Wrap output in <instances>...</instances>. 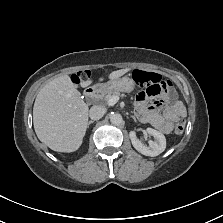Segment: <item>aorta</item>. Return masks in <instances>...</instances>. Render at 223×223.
Here are the masks:
<instances>
[{
  "label": "aorta",
  "instance_id": "1",
  "mask_svg": "<svg viewBox=\"0 0 223 223\" xmlns=\"http://www.w3.org/2000/svg\"><path fill=\"white\" fill-rule=\"evenodd\" d=\"M110 121L114 125H120L123 123L121 114L115 113L110 116Z\"/></svg>",
  "mask_w": 223,
  "mask_h": 223
}]
</instances>
